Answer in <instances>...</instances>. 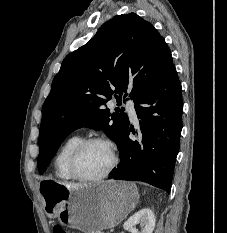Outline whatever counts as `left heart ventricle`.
Returning <instances> with one entry per match:
<instances>
[{
    "label": "left heart ventricle",
    "mask_w": 227,
    "mask_h": 233,
    "mask_svg": "<svg viewBox=\"0 0 227 233\" xmlns=\"http://www.w3.org/2000/svg\"><path fill=\"white\" fill-rule=\"evenodd\" d=\"M111 155L108 147L101 143L86 146L76 162L78 172L85 176H95L104 172L109 166Z\"/></svg>",
    "instance_id": "1"
}]
</instances>
